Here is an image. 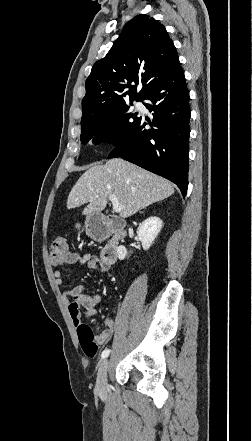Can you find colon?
Masks as SVG:
<instances>
[{"instance_id":"colon-1","label":"colon","mask_w":252,"mask_h":441,"mask_svg":"<svg viewBox=\"0 0 252 441\" xmlns=\"http://www.w3.org/2000/svg\"><path fill=\"white\" fill-rule=\"evenodd\" d=\"M68 254L69 248L66 240L62 237L54 239L49 248L51 262L61 263ZM77 333L83 352L90 358L95 357L99 348L92 329L87 324L80 323L77 326Z\"/></svg>"}]
</instances>
